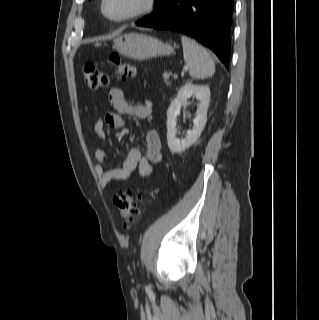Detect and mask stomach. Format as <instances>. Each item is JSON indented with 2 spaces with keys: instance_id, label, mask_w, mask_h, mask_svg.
<instances>
[{
  "instance_id": "0dacf381",
  "label": "stomach",
  "mask_w": 319,
  "mask_h": 320,
  "mask_svg": "<svg viewBox=\"0 0 319 320\" xmlns=\"http://www.w3.org/2000/svg\"><path fill=\"white\" fill-rule=\"evenodd\" d=\"M113 48L121 55L134 60L170 56L173 47L159 39L142 33H125L113 40Z\"/></svg>"
}]
</instances>
